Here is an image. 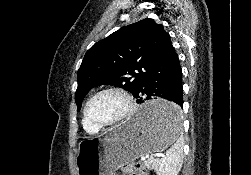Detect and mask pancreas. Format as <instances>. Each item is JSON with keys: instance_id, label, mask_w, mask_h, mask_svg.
I'll return each instance as SVG.
<instances>
[{"instance_id": "cf45deb5", "label": "pancreas", "mask_w": 251, "mask_h": 175, "mask_svg": "<svg viewBox=\"0 0 251 175\" xmlns=\"http://www.w3.org/2000/svg\"><path fill=\"white\" fill-rule=\"evenodd\" d=\"M151 163H152V159H145L144 161V165H148V167L149 165H151Z\"/></svg>"}]
</instances>
